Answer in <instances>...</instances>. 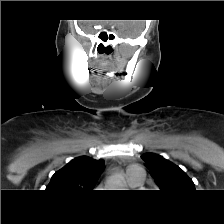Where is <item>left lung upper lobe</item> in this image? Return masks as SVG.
I'll return each instance as SVG.
<instances>
[{
  "label": "left lung upper lobe",
  "instance_id": "5c2ea615",
  "mask_svg": "<svg viewBox=\"0 0 224 224\" xmlns=\"http://www.w3.org/2000/svg\"><path fill=\"white\" fill-rule=\"evenodd\" d=\"M141 158L162 192L176 194L195 190L192 179L179 166L154 153H145Z\"/></svg>",
  "mask_w": 224,
  "mask_h": 224
}]
</instances>
